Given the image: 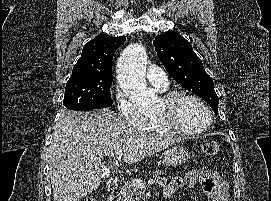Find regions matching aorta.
I'll return each mask as SVG.
<instances>
[{
    "label": "aorta",
    "mask_w": 271,
    "mask_h": 201,
    "mask_svg": "<svg viewBox=\"0 0 271 201\" xmlns=\"http://www.w3.org/2000/svg\"><path fill=\"white\" fill-rule=\"evenodd\" d=\"M146 49L141 44L126 47L117 61V73L123 91L140 107L152 106L156 94L146 86Z\"/></svg>",
    "instance_id": "aorta-1"
}]
</instances>
